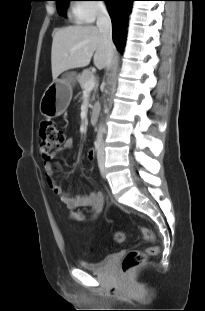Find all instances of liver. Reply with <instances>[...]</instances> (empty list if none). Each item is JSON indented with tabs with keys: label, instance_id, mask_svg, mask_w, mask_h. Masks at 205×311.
<instances>
[{
	"label": "liver",
	"instance_id": "6515ba94",
	"mask_svg": "<svg viewBox=\"0 0 205 311\" xmlns=\"http://www.w3.org/2000/svg\"><path fill=\"white\" fill-rule=\"evenodd\" d=\"M92 57L98 69L106 67V47L98 27L68 26L53 33L51 50L53 79H57L61 73L69 69L88 66Z\"/></svg>",
	"mask_w": 205,
	"mask_h": 311
}]
</instances>
